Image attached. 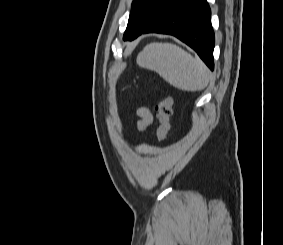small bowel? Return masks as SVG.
<instances>
[{
    "label": "small bowel",
    "mask_w": 283,
    "mask_h": 245,
    "mask_svg": "<svg viewBox=\"0 0 283 245\" xmlns=\"http://www.w3.org/2000/svg\"><path fill=\"white\" fill-rule=\"evenodd\" d=\"M136 115L139 118L137 122L138 130L142 132L146 131L153 122L152 113L147 107H139L136 110Z\"/></svg>",
    "instance_id": "c3829d8e"
}]
</instances>
